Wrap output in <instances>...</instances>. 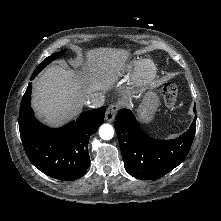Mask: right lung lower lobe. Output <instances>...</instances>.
<instances>
[{"label": "right lung lower lobe", "mask_w": 221, "mask_h": 221, "mask_svg": "<svg viewBox=\"0 0 221 221\" xmlns=\"http://www.w3.org/2000/svg\"><path fill=\"white\" fill-rule=\"evenodd\" d=\"M35 77L32 75L30 80ZM31 91L29 83L19 112L20 136L29 160L55 179L71 181L82 177L90 166V136L104 122L106 107L85 111L68 125L51 129L35 118L30 106Z\"/></svg>", "instance_id": "98d812e1"}]
</instances>
